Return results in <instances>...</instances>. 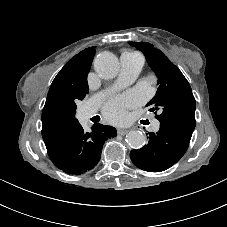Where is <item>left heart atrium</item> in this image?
Here are the masks:
<instances>
[{"label": "left heart atrium", "mask_w": 227, "mask_h": 227, "mask_svg": "<svg viewBox=\"0 0 227 227\" xmlns=\"http://www.w3.org/2000/svg\"><path fill=\"white\" fill-rule=\"evenodd\" d=\"M137 98L134 95H126L115 98L104 107V114L112 121H120L125 116V108L135 105Z\"/></svg>", "instance_id": "left-heart-atrium-1"}]
</instances>
